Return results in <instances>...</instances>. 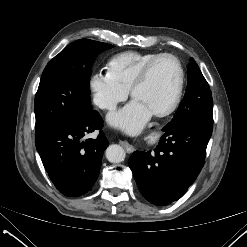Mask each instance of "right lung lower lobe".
<instances>
[{"label":"right lung lower lobe","instance_id":"98d812e1","mask_svg":"<svg viewBox=\"0 0 247 247\" xmlns=\"http://www.w3.org/2000/svg\"><path fill=\"white\" fill-rule=\"evenodd\" d=\"M103 121L94 111L80 120L68 122L36 135L35 144L43 165L56 188L66 196H80L95 184L108 140L102 132ZM99 130L96 139L83 137Z\"/></svg>","mask_w":247,"mask_h":247}]
</instances>
